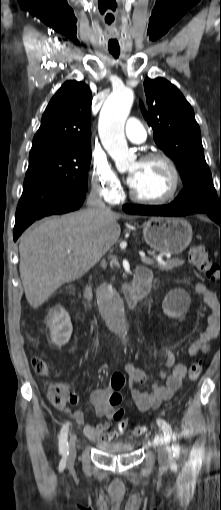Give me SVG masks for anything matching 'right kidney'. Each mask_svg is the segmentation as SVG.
<instances>
[{
    "label": "right kidney",
    "mask_w": 221,
    "mask_h": 510,
    "mask_svg": "<svg viewBox=\"0 0 221 510\" xmlns=\"http://www.w3.org/2000/svg\"><path fill=\"white\" fill-rule=\"evenodd\" d=\"M48 327L55 346L61 348L69 342L73 327L70 316L63 307L58 306L51 312Z\"/></svg>",
    "instance_id": "ca27d5eb"
}]
</instances>
